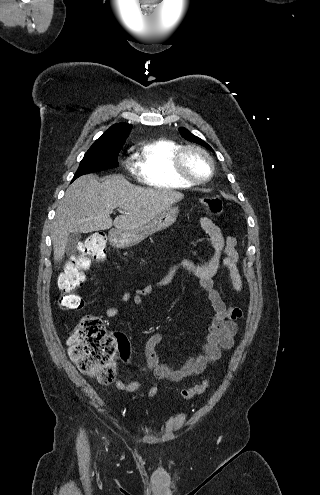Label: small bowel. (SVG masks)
<instances>
[{"mask_svg":"<svg viewBox=\"0 0 320 495\" xmlns=\"http://www.w3.org/2000/svg\"><path fill=\"white\" fill-rule=\"evenodd\" d=\"M202 229L209 235L213 253L211 258L205 263H198L190 259L180 262L178 268L172 270L160 283L149 284L141 289L132 292H124L121 295L123 302H131L136 306L143 304L144 300L152 295L157 289L167 285L178 269L192 274L199 282L200 286L207 293L212 308L211 323L209 325L205 342L201 351L190 357L180 368H173L161 363L156 348L162 343L164 333L155 332L144 345V357L146 366L141 368V372H151L160 380L179 382L183 379L202 373L209 364L218 361L222 350H229L234 345V337L238 333V321L243 317V313L238 308L228 307L222 300L219 292L214 286L213 278L221 267L229 271L230 280L234 290L240 293L243 289L242 278L238 269L239 253L237 240L232 236H224L220 227L211 219L202 217L199 219ZM116 307H109L106 315L109 318L118 316ZM144 385L143 382L132 381L125 383L117 380V389L127 392H134ZM158 391L155 383H151L148 390L149 396H154Z\"/></svg>","mask_w":320,"mask_h":495,"instance_id":"obj_1","label":"small bowel"}]
</instances>
